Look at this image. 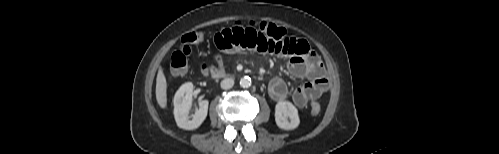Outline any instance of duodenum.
<instances>
[{
    "label": "duodenum",
    "mask_w": 499,
    "mask_h": 154,
    "mask_svg": "<svg viewBox=\"0 0 499 154\" xmlns=\"http://www.w3.org/2000/svg\"><path fill=\"white\" fill-rule=\"evenodd\" d=\"M207 72L213 79H227L235 76L234 73H228L224 71L219 72L214 70H207Z\"/></svg>",
    "instance_id": "duodenum-1"
}]
</instances>
